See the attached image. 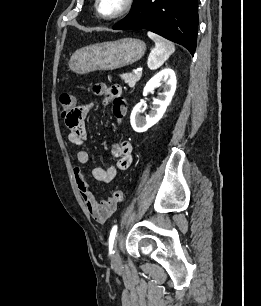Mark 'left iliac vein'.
I'll use <instances>...</instances> for the list:
<instances>
[{
  "label": "left iliac vein",
  "instance_id": "1",
  "mask_svg": "<svg viewBox=\"0 0 261 306\" xmlns=\"http://www.w3.org/2000/svg\"><path fill=\"white\" fill-rule=\"evenodd\" d=\"M111 264L113 267H119L121 265V258L118 249V242L116 241L114 245L113 254L111 256Z\"/></svg>",
  "mask_w": 261,
  "mask_h": 306
}]
</instances>
